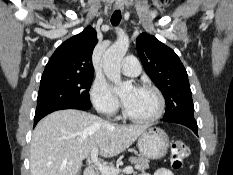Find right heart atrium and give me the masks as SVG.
<instances>
[{"label": "right heart atrium", "mask_w": 233, "mask_h": 175, "mask_svg": "<svg viewBox=\"0 0 233 175\" xmlns=\"http://www.w3.org/2000/svg\"><path fill=\"white\" fill-rule=\"evenodd\" d=\"M89 97L94 108L107 116H114L120 108L119 98L106 81L95 78L90 86Z\"/></svg>", "instance_id": "1"}]
</instances>
